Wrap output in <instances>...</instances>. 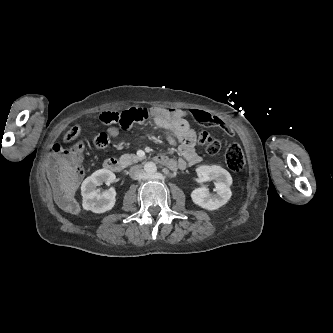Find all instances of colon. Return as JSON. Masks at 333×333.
<instances>
[{"instance_id": "5ec220e1", "label": "colon", "mask_w": 333, "mask_h": 333, "mask_svg": "<svg viewBox=\"0 0 333 333\" xmlns=\"http://www.w3.org/2000/svg\"><path fill=\"white\" fill-rule=\"evenodd\" d=\"M156 116V111L152 107H130L127 111L123 112H103L100 115V120L104 124H119L124 126L127 124H137L140 121L152 120ZM81 134V128L74 126L68 130L64 137L65 143H74ZM197 140L200 145L205 148L209 155L216 154L221 147L220 141L213 138L206 130L199 128L197 130ZM93 144L96 148H105L109 144V137L102 133L95 137ZM81 144L76 143L69 151L57 143L53 146V151L57 155L66 152L77 153L81 149ZM225 161L227 167L233 172H239L245 165V156L241 146L237 143L229 145L225 151Z\"/></svg>"}]
</instances>
